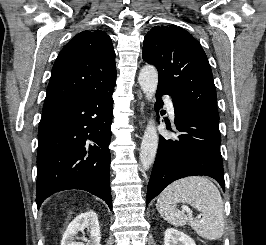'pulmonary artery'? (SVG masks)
Returning <instances> with one entry per match:
<instances>
[{"label":"pulmonary artery","mask_w":266,"mask_h":245,"mask_svg":"<svg viewBox=\"0 0 266 245\" xmlns=\"http://www.w3.org/2000/svg\"><path fill=\"white\" fill-rule=\"evenodd\" d=\"M166 108L171 118H174V106L170 99H166Z\"/></svg>","instance_id":"pulmonary-artery-1"}]
</instances>
